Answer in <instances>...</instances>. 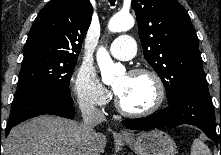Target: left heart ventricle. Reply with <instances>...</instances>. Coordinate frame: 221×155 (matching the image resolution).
I'll list each match as a JSON object with an SVG mask.
<instances>
[{"instance_id":"obj_1","label":"left heart ventricle","mask_w":221,"mask_h":155,"mask_svg":"<svg viewBox=\"0 0 221 155\" xmlns=\"http://www.w3.org/2000/svg\"><path fill=\"white\" fill-rule=\"evenodd\" d=\"M113 86L123 106L130 111L146 110L155 102L156 86L148 75L125 74Z\"/></svg>"}]
</instances>
